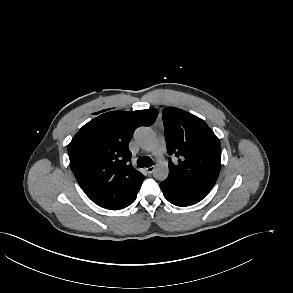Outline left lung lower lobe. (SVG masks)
I'll use <instances>...</instances> for the list:
<instances>
[{"mask_svg": "<svg viewBox=\"0 0 293 293\" xmlns=\"http://www.w3.org/2000/svg\"><path fill=\"white\" fill-rule=\"evenodd\" d=\"M160 188L165 198L176 206H190L198 203L210 192L211 189H197L177 181L164 180Z\"/></svg>", "mask_w": 293, "mask_h": 293, "instance_id": "0a47b994", "label": "left lung lower lobe"}]
</instances>
